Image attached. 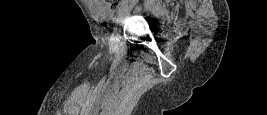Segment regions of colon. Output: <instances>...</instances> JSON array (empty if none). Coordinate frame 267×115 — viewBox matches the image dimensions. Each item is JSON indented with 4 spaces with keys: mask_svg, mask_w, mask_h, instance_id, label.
<instances>
[{
    "mask_svg": "<svg viewBox=\"0 0 267 115\" xmlns=\"http://www.w3.org/2000/svg\"><path fill=\"white\" fill-rule=\"evenodd\" d=\"M100 2H102L110 9H115L123 2V0H101ZM157 2V0H147V3L152 5L156 4Z\"/></svg>",
    "mask_w": 267,
    "mask_h": 115,
    "instance_id": "colon-1",
    "label": "colon"
}]
</instances>
